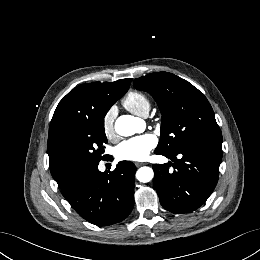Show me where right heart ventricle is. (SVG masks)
<instances>
[{
    "mask_svg": "<svg viewBox=\"0 0 260 260\" xmlns=\"http://www.w3.org/2000/svg\"><path fill=\"white\" fill-rule=\"evenodd\" d=\"M150 100L142 92L130 91L123 100V106L130 112L143 116L150 109Z\"/></svg>",
    "mask_w": 260,
    "mask_h": 260,
    "instance_id": "obj_1",
    "label": "right heart ventricle"
}]
</instances>
